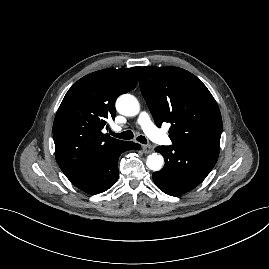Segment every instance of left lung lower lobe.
I'll use <instances>...</instances> for the list:
<instances>
[{
  "label": "left lung lower lobe",
  "instance_id": "0a47b994",
  "mask_svg": "<svg viewBox=\"0 0 269 269\" xmlns=\"http://www.w3.org/2000/svg\"><path fill=\"white\" fill-rule=\"evenodd\" d=\"M155 150L164 156L165 166L153 173V181L171 196H179L198 186L219 155V150L196 145L159 146Z\"/></svg>",
  "mask_w": 269,
  "mask_h": 269
}]
</instances>
